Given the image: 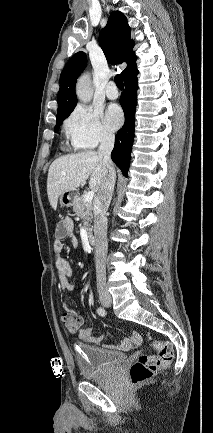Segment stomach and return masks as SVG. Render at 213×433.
I'll list each match as a JSON object with an SVG mask.
<instances>
[{
  "label": "stomach",
  "mask_w": 213,
  "mask_h": 433,
  "mask_svg": "<svg viewBox=\"0 0 213 433\" xmlns=\"http://www.w3.org/2000/svg\"><path fill=\"white\" fill-rule=\"evenodd\" d=\"M75 198L76 194L74 191H66L60 195V203L64 206H70Z\"/></svg>",
  "instance_id": "obj_1"
}]
</instances>
